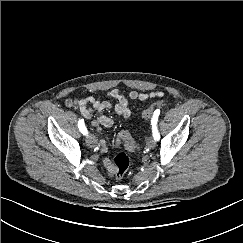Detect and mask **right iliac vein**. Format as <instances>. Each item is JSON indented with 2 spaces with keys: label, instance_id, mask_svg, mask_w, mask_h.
<instances>
[{
  "label": "right iliac vein",
  "instance_id": "1",
  "mask_svg": "<svg viewBox=\"0 0 243 243\" xmlns=\"http://www.w3.org/2000/svg\"><path fill=\"white\" fill-rule=\"evenodd\" d=\"M86 143H87V145H88L89 147L93 148V147L96 146L97 141H96V139L94 138L93 135H88V136H87V139H86Z\"/></svg>",
  "mask_w": 243,
  "mask_h": 243
}]
</instances>
